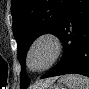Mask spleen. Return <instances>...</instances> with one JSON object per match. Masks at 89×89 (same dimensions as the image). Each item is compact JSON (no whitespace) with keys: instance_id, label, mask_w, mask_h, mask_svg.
Returning a JSON list of instances; mask_svg holds the SVG:
<instances>
[{"instance_id":"1","label":"spleen","mask_w":89,"mask_h":89,"mask_svg":"<svg viewBox=\"0 0 89 89\" xmlns=\"http://www.w3.org/2000/svg\"><path fill=\"white\" fill-rule=\"evenodd\" d=\"M60 81L67 86V89H89V79L82 75H64L60 78Z\"/></svg>"}]
</instances>
